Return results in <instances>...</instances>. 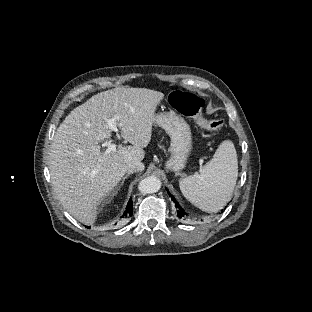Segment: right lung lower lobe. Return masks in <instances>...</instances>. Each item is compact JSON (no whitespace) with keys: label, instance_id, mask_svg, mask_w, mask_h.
<instances>
[{"label":"right lung lower lobe","instance_id":"right-lung-lower-lobe-1","mask_svg":"<svg viewBox=\"0 0 312 312\" xmlns=\"http://www.w3.org/2000/svg\"><path fill=\"white\" fill-rule=\"evenodd\" d=\"M132 213H133V202H132V201H129V202H128V205H127V207H126V210H125V212H124V214H123V217H124V216H125V217L130 216V215H132Z\"/></svg>","mask_w":312,"mask_h":312}]
</instances>
